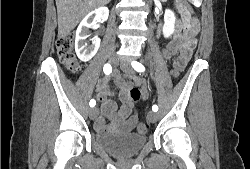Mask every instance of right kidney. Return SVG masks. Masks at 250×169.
I'll return each mask as SVG.
<instances>
[{"instance_id": "ca27d5eb", "label": "right kidney", "mask_w": 250, "mask_h": 169, "mask_svg": "<svg viewBox=\"0 0 250 169\" xmlns=\"http://www.w3.org/2000/svg\"><path fill=\"white\" fill-rule=\"evenodd\" d=\"M108 14L109 8H107V6H99V8H95V10L88 12L85 18L81 20L76 30L75 38V50L80 60H84V62H86V60H90V58L95 56L101 44V38H99L96 34V36H93L91 44H87L86 38L87 36H90V34H88V28H97L99 24H96V22L107 20Z\"/></svg>"}]
</instances>
